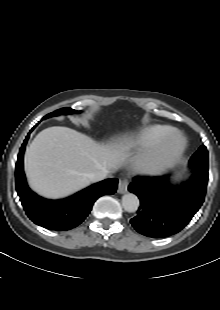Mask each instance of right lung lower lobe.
<instances>
[{"instance_id":"obj_1","label":"right lung lower lobe","mask_w":220,"mask_h":310,"mask_svg":"<svg viewBox=\"0 0 220 310\" xmlns=\"http://www.w3.org/2000/svg\"><path fill=\"white\" fill-rule=\"evenodd\" d=\"M27 135L22 144L15 168L16 190L27 216L35 224L50 230H70L81 224L90 213L94 202L105 194H114L118 179H106L61 200H47L30 190L23 170V155Z\"/></svg>"}]
</instances>
